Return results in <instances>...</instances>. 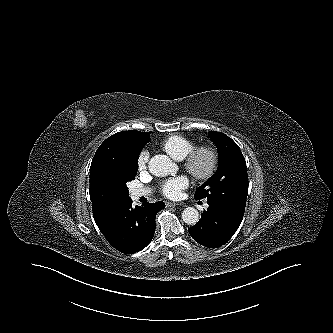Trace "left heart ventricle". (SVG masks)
Wrapping results in <instances>:
<instances>
[{
	"mask_svg": "<svg viewBox=\"0 0 333 333\" xmlns=\"http://www.w3.org/2000/svg\"><path fill=\"white\" fill-rule=\"evenodd\" d=\"M205 163H206V158H205V157H201V158L199 159V161H198V166H199V168L204 167Z\"/></svg>",
	"mask_w": 333,
	"mask_h": 333,
	"instance_id": "1",
	"label": "left heart ventricle"
}]
</instances>
